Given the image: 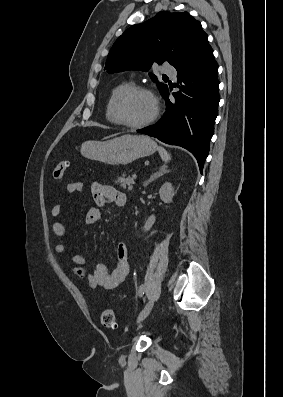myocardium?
Returning a JSON list of instances; mask_svg holds the SVG:
<instances>
[{
    "mask_svg": "<svg viewBox=\"0 0 283 397\" xmlns=\"http://www.w3.org/2000/svg\"><path fill=\"white\" fill-rule=\"evenodd\" d=\"M137 93L147 94L152 99V101L154 103V110H153V113L151 114V116L149 118H147L146 120L139 122V123H131V122L126 121L123 118L122 104L128 97H130L134 94H137ZM159 111H160V104H159L158 98L153 93V91H151L149 88H147L145 86H139V85L131 86L130 88H128V89L124 90L122 93H120L114 102V113H115L118 123L125 127L132 128V129H140V128L146 127V126L150 125L151 123H153L157 119V117L159 115Z\"/></svg>",
    "mask_w": 283,
    "mask_h": 397,
    "instance_id": "1",
    "label": "myocardium"
}]
</instances>
